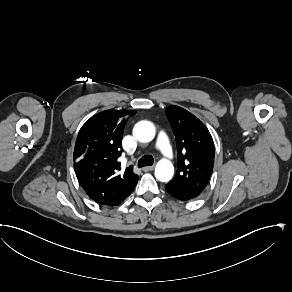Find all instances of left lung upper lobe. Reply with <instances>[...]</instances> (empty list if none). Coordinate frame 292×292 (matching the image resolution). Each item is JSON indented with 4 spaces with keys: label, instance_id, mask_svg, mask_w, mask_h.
<instances>
[{
    "label": "left lung upper lobe",
    "instance_id": "obj_1",
    "mask_svg": "<svg viewBox=\"0 0 292 292\" xmlns=\"http://www.w3.org/2000/svg\"><path fill=\"white\" fill-rule=\"evenodd\" d=\"M165 113L173 129L178 151L177 171L170 182L202 193L214 166L212 136L196 116L181 107H168Z\"/></svg>",
    "mask_w": 292,
    "mask_h": 292
}]
</instances>
